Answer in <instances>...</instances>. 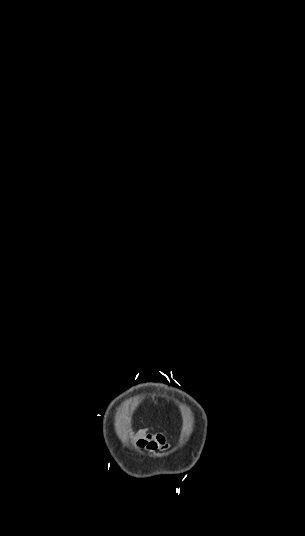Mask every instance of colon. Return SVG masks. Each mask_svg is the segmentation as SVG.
I'll list each match as a JSON object with an SVG mask.
<instances>
[{"label":"colon","instance_id":"1","mask_svg":"<svg viewBox=\"0 0 305 536\" xmlns=\"http://www.w3.org/2000/svg\"><path fill=\"white\" fill-rule=\"evenodd\" d=\"M126 423H130V420H126Z\"/></svg>","mask_w":305,"mask_h":536}]
</instances>
